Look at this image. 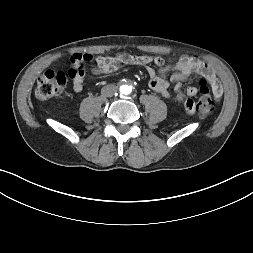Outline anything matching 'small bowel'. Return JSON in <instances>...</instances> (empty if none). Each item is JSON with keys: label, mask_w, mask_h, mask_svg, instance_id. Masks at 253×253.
<instances>
[{"label": "small bowel", "mask_w": 253, "mask_h": 253, "mask_svg": "<svg viewBox=\"0 0 253 253\" xmlns=\"http://www.w3.org/2000/svg\"><path fill=\"white\" fill-rule=\"evenodd\" d=\"M90 56L88 54H73L70 57L71 62L88 61ZM151 64L160 67L156 71ZM123 65H136L145 68L149 75V87L155 93L164 98L170 97V83L177 94V99L182 100L185 98L181 106L183 112L188 116H194L197 113V100L194 96L197 95L198 89L194 86H189L184 91L182 89V81L187 79L191 74H200L210 85L216 100L222 97V85L218 79L213 75L210 68L200 59L195 57H182L172 67L166 66V62L162 57H152L148 55L133 56L126 53H118L115 56H99L96 59V65L93 72L97 75L109 74L116 72ZM170 75V81L168 76ZM78 84L82 88L75 85V78L73 79L72 88L75 92L79 93L83 90L84 74H79Z\"/></svg>", "instance_id": "c3829d8e"}]
</instances>
